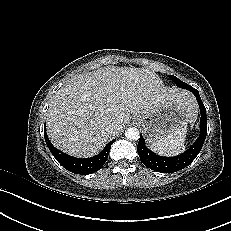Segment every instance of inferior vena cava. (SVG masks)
I'll return each mask as SVG.
<instances>
[{
    "label": "inferior vena cava",
    "instance_id": "inferior-vena-cava-1",
    "mask_svg": "<svg viewBox=\"0 0 231 231\" xmlns=\"http://www.w3.org/2000/svg\"><path fill=\"white\" fill-rule=\"evenodd\" d=\"M107 130L113 134H116L117 130H119V128L116 124H111L108 126Z\"/></svg>",
    "mask_w": 231,
    "mask_h": 231
}]
</instances>
